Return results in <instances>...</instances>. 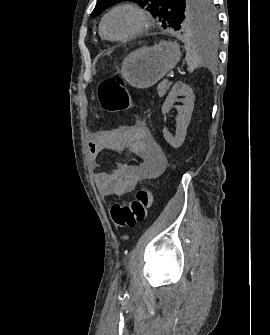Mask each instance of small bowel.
<instances>
[{
  "instance_id": "small-bowel-1",
  "label": "small bowel",
  "mask_w": 270,
  "mask_h": 335,
  "mask_svg": "<svg viewBox=\"0 0 270 335\" xmlns=\"http://www.w3.org/2000/svg\"><path fill=\"white\" fill-rule=\"evenodd\" d=\"M106 149H127L141 159L139 163H117L113 169L96 175L97 186L111 196L131 193L137 183L153 178L164 171L167 157L144 123L120 126L109 133L91 134L89 150L91 164L98 166V156Z\"/></svg>"
}]
</instances>
